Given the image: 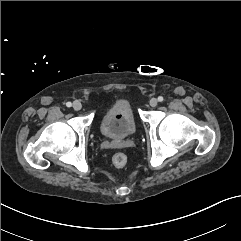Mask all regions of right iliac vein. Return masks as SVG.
<instances>
[{
  "label": "right iliac vein",
  "mask_w": 241,
  "mask_h": 241,
  "mask_svg": "<svg viewBox=\"0 0 241 241\" xmlns=\"http://www.w3.org/2000/svg\"><path fill=\"white\" fill-rule=\"evenodd\" d=\"M81 108H82V104H81L79 101H75V102L73 103V109H74L75 111H79V110H81Z\"/></svg>",
  "instance_id": "right-iliac-vein-1"
}]
</instances>
